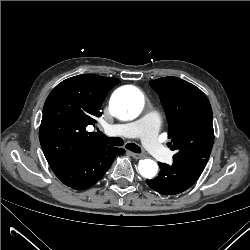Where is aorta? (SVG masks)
Masks as SVG:
<instances>
[{
	"label": "aorta",
	"instance_id": "obj_1",
	"mask_svg": "<svg viewBox=\"0 0 250 250\" xmlns=\"http://www.w3.org/2000/svg\"><path fill=\"white\" fill-rule=\"evenodd\" d=\"M144 107V98L134 87H123L117 90L111 97L110 111L122 119L137 117ZM139 173L145 178H152L158 171L156 162L151 159L139 161Z\"/></svg>",
	"mask_w": 250,
	"mask_h": 250
}]
</instances>
